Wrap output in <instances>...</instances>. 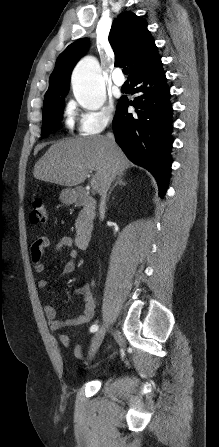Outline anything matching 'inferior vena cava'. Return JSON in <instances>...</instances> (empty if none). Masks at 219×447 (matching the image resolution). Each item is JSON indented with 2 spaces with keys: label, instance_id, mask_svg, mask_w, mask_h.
I'll return each mask as SVG.
<instances>
[{
  "label": "inferior vena cava",
  "instance_id": "inferior-vena-cava-1",
  "mask_svg": "<svg viewBox=\"0 0 219 447\" xmlns=\"http://www.w3.org/2000/svg\"><path fill=\"white\" fill-rule=\"evenodd\" d=\"M107 137L110 141L114 142V136L111 133L107 134ZM116 177V172L112 171L106 178L104 186L102 188V191L100 193L101 195V205L105 204V200H106V196H107V191L110 187L111 182L115 179Z\"/></svg>",
  "mask_w": 219,
  "mask_h": 447
}]
</instances>
